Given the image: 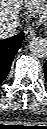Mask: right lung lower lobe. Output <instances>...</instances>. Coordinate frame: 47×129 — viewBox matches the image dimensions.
<instances>
[{
  "label": "right lung lower lobe",
  "mask_w": 47,
  "mask_h": 129,
  "mask_svg": "<svg viewBox=\"0 0 47 129\" xmlns=\"http://www.w3.org/2000/svg\"><path fill=\"white\" fill-rule=\"evenodd\" d=\"M24 33L0 40V84L9 73L16 52L20 49Z\"/></svg>",
  "instance_id": "98d812e1"
}]
</instances>
